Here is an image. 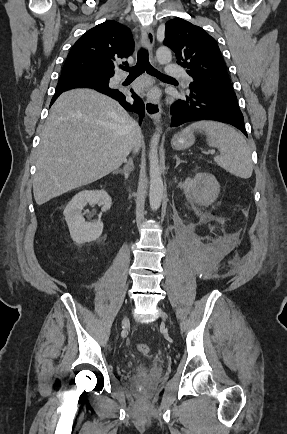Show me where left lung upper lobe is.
I'll list each match as a JSON object with an SVG mask.
<instances>
[{"instance_id":"1","label":"left lung upper lobe","mask_w":287,"mask_h":434,"mask_svg":"<svg viewBox=\"0 0 287 434\" xmlns=\"http://www.w3.org/2000/svg\"><path fill=\"white\" fill-rule=\"evenodd\" d=\"M164 44L175 52L177 64L186 67L193 78L189 88L235 95L218 44L201 27L174 18L166 23Z\"/></svg>"}]
</instances>
